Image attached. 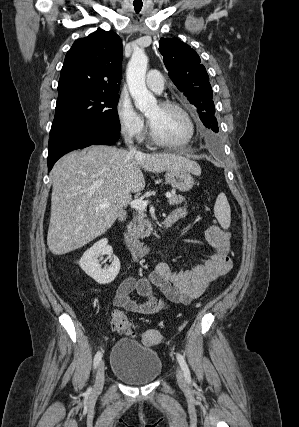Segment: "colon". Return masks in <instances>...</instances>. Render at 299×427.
I'll return each instance as SVG.
<instances>
[{
	"instance_id": "5ec220e1",
	"label": "colon",
	"mask_w": 299,
	"mask_h": 427,
	"mask_svg": "<svg viewBox=\"0 0 299 427\" xmlns=\"http://www.w3.org/2000/svg\"><path fill=\"white\" fill-rule=\"evenodd\" d=\"M113 327L120 333H125L128 335L135 334L134 324L122 313L116 311L112 316Z\"/></svg>"
}]
</instances>
